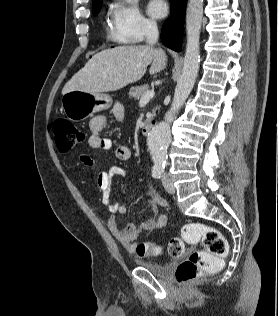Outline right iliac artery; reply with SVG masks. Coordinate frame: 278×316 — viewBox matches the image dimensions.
Masks as SVG:
<instances>
[{"label":"right iliac artery","mask_w":278,"mask_h":316,"mask_svg":"<svg viewBox=\"0 0 278 316\" xmlns=\"http://www.w3.org/2000/svg\"><path fill=\"white\" fill-rule=\"evenodd\" d=\"M163 173V169L161 167H154L152 170V177L155 179H159Z\"/></svg>","instance_id":"right-iliac-artery-1"}]
</instances>
